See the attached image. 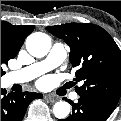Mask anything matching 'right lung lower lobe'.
Returning <instances> with one entry per match:
<instances>
[{
    "label": "right lung lower lobe",
    "instance_id": "obj_1",
    "mask_svg": "<svg viewBox=\"0 0 121 121\" xmlns=\"http://www.w3.org/2000/svg\"><path fill=\"white\" fill-rule=\"evenodd\" d=\"M43 95L34 92H20L6 95L1 89V121H22L29 103Z\"/></svg>",
    "mask_w": 121,
    "mask_h": 121
}]
</instances>
